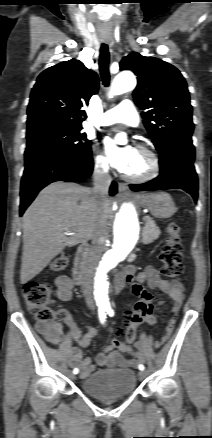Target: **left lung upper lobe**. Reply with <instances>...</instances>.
Returning <instances> with one entry per match:
<instances>
[{"instance_id":"5c2ea615","label":"left lung upper lobe","mask_w":212,"mask_h":438,"mask_svg":"<svg viewBox=\"0 0 212 438\" xmlns=\"http://www.w3.org/2000/svg\"><path fill=\"white\" fill-rule=\"evenodd\" d=\"M120 69L132 70L138 76L134 101L145 110L144 125L158 151L169 142L191 139L192 106L187 84L177 68L134 52L122 59Z\"/></svg>"}]
</instances>
